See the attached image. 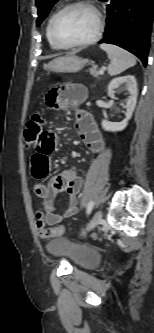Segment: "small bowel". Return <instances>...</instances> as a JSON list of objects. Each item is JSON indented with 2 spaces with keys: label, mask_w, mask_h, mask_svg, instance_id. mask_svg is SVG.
<instances>
[{
  "label": "small bowel",
  "mask_w": 154,
  "mask_h": 333,
  "mask_svg": "<svg viewBox=\"0 0 154 333\" xmlns=\"http://www.w3.org/2000/svg\"><path fill=\"white\" fill-rule=\"evenodd\" d=\"M87 97V90L81 84L68 83L51 90L47 95V104L54 108H76ZM75 128L81 140L95 154L100 153L105 146L93 116L84 110L75 112ZM57 136L50 129H42L34 142V153L31 156L30 168L35 179L45 178L51 170V154L56 150ZM83 180L74 172L59 174L47 184L37 182L33 185L34 194L42 199L44 208V224L53 226L60 224L63 219L75 215L79 211L78 195ZM64 192L68 196V206L62 212H57L55 196Z\"/></svg>",
  "instance_id": "obj_1"
}]
</instances>
